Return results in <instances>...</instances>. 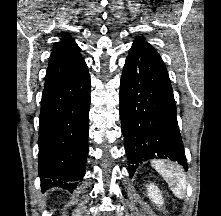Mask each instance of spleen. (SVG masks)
Returning a JSON list of instances; mask_svg holds the SVG:
<instances>
[{
  "instance_id": "1",
  "label": "spleen",
  "mask_w": 221,
  "mask_h": 216,
  "mask_svg": "<svg viewBox=\"0 0 221 216\" xmlns=\"http://www.w3.org/2000/svg\"><path fill=\"white\" fill-rule=\"evenodd\" d=\"M152 166L165 179L173 194L179 199H184L187 181L182 167L176 163H165L161 160L152 161Z\"/></svg>"
}]
</instances>
